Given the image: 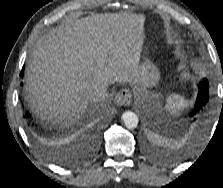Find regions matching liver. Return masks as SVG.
I'll list each match as a JSON object with an SVG mask.
<instances>
[{
	"mask_svg": "<svg viewBox=\"0 0 223 188\" xmlns=\"http://www.w3.org/2000/svg\"><path fill=\"white\" fill-rule=\"evenodd\" d=\"M142 14H94L52 30L32 51L25 77L27 100L45 122L78 120L97 83L137 84L140 80Z\"/></svg>",
	"mask_w": 223,
	"mask_h": 188,
	"instance_id": "liver-1",
	"label": "liver"
}]
</instances>
